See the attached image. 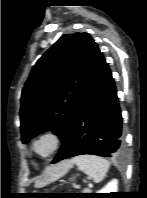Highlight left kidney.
<instances>
[{
  "mask_svg": "<svg viewBox=\"0 0 147 198\" xmlns=\"http://www.w3.org/2000/svg\"><path fill=\"white\" fill-rule=\"evenodd\" d=\"M117 190H118V181H117V179H113L97 193L118 192Z\"/></svg>",
  "mask_w": 147,
  "mask_h": 198,
  "instance_id": "1",
  "label": "left kidney"
}]
</instances>
